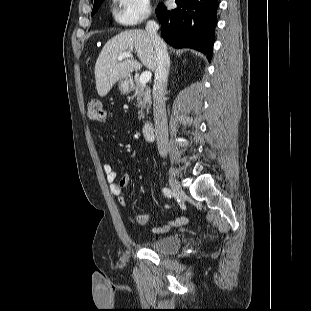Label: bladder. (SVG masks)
Instances as JSON below:
<instances>
[{"mask_svg": "<svg viewBox=\"0 0 311 311\" xmlns=\"http://www.w3.org/2000/svg\"><path fill=\"white\" fill-rule=\"evenodd\" d=\"M181 244L182 238L173 234L147 240L144 246L160 253H173L180 248Z\"/></svg>", "mask_w": 311, "mask_h": 311, "instance_id": "31cf9c89", "label": "bladder"}]
</instances>
